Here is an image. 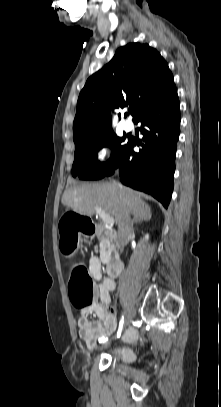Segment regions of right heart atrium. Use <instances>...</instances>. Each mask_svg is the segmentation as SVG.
<instances>
[{"label":"right heart atrium","instance_id":"1","mask_svg":"<svg viewBox=\"0 0 221 407\" xmlns=\"http://www.w3.org/2000/svg\"><path fill=\"white\" fill-rule=\"evenodd\" d=\"M110 154V149L107 147H100L95 154V157L98 161L104 160Z\"/></svg>","mask_w":221,"mask_h":407}]
</instances>
